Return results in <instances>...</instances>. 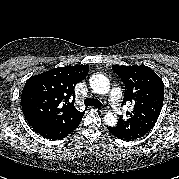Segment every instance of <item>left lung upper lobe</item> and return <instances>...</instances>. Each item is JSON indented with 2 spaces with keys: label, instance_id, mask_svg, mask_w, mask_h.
<instances>
[{
  "label": "left lung upper lobe",
  "instance_id": "obj_1",
  "mask_svg": "<svg viewBox=\"0 0 179 179\" xmlns=\"http://www.w3.org/2000/svg\"><path fill=\"white\" fill-rule=\"evenodd\" d=\"M126 86L122 106L133 103L134 107L120 116L114 128L117 137L133 139L146 134L156 123L164 99L161 78L147 66H112ZM141 137V136H140Z\"/></svg>",
  "mask_w": 179,
  "mask_h": 179
}]
</instances>
